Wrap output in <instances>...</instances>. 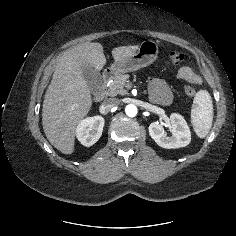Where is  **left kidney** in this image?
Wrapping results in <instances>:
<instances>
[{"mask_svg":"<svg viewBox=\"0 0 236 236\" xmlns=\"http://www.w3.org/2000/svg\"><path fill=\"white\" fill-rule=\"evenodd\" d=\"M169 128L172 136H166L164 127L159 122L149 125L151 138L162 148L175 149L186 147L191 141V132L187 122L180 114L173 113L170 116Z\"/></svg>","mask_w":236,"mask_h":236,"instance_id":"obj_1","label":"left kidney"}]
</instances>
